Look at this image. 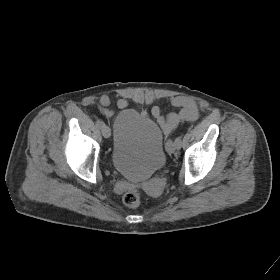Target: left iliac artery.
<instances>
[{
  "label": "left iliac artery",
  "mask_w": 280,
  "mask_h": 280,
  "mask_svg": "<svg viewBox=\"0 0 280 280\" xmlns=\"http://www.w3.org/2000/svg\"><path fill=\"white\" fill-rule=\"evenodd\" d=\"M175 143H176L177 147H179L181 145V137H177L175 139Z\"/></svg>",
  "instance_id": "obj_1"
}]
</instances>
